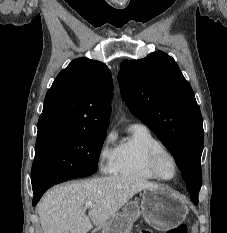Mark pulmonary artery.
Instances as JSON below:
<instances>
[{"mask_svg": "<svg viewBox=\"0 0 227 233\" xmlns=\"http://www.w3.org/2000/svg\"><path fill=\"white\" fill-rule=\"evenodd\" d=\"M134 125H140V126H144V125H142V124H134Z\"/></svg>", "mask_w": 227, "mask_h": 233, "instance_id": "pulmonary-artery-1", "label": "pulmonary artery"}]
</instances>
